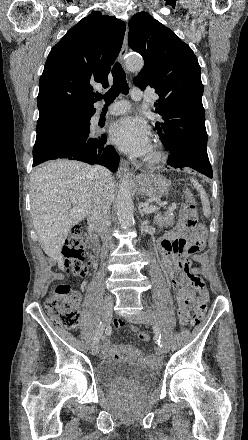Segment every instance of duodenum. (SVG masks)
I'll return each instance as SVG.
<instances>
[{
  "mask_svg": "<svg viewBox=\"0 0 248 440\" xmlns=\"http://www.w3.org/2000/svg\"><path fill=\"white\" fill-rule=\"evenodd\" d=\"M86 241H87V245H88V247H89L94 253H96V252H97V244H96L95 238H94V236H93V234H92L91 232H88V233L86 234Z\"/></svg>",
  "mask_w": 248,
  "mask_h": 440,
  "instance_id": "1",
  "label": "duodenum"
}]
</instances>
